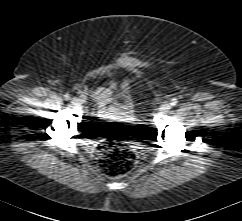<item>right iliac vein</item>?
I'll return each mask as SVG.
<instances>
[{
	"instance_id": "obj_1",
	"label": "right iliac vein",
	"mask_w": 242,
	"mask_h": 221,
	"mask_svg": "<svg viewBox=\"0 0 242 221\" xmlns=\"http://www.w3.org/2000/svg\"><path fill=\"white\" fill-rule=\"evenodd\" d=\"M72 104H73V106H74L75 108H77V107H79V106H80L79 101H78V100H76V99L72 100Z\"/></svg>"
}]
</instances>
